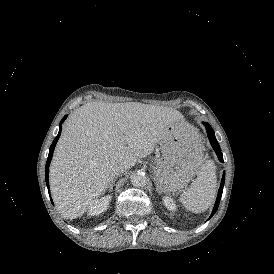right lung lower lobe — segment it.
Wrapping results in <instances>:
<instances>
[{
    "label": "right lung lower lobe",
    "mask_w": 274,
    "mask_h": 274,
    "mask_svg": "<svg viewBox=\"0 0 274 274\" xmlns=\"http://www.w3.org/2000/svg\"><path fill=\"white\" fill-rule=\"evenodd\" d=\"M67 116H64L63 119L61 120L60 122V130H59V133L58 135L56 136V138L54 139V141L52 142V145L50 146V149H49V156H48V159H47V162H46V169H45V177H46V184H47V187H48V192L50 193V190H49V181H48V176H49V164H50V161L52 159V155H53V151H54V148H55V145L60 137V134H61V124L63 123V121L66 119ZM51 199V198H50ZM51 202H52V199H51ZM53 203V202H52Z\"/></svg>",
    "instance_id": "right-lung-lower-lobe-1"
}]
</instances>
